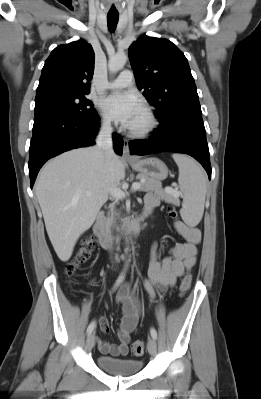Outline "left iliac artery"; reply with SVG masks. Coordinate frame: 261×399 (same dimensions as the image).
I'll use <instances>...</instances> for the list:
<instances>
[{
  "label": "left iliac artery",
  "instance_id": "left-iliac-artery-1",
  "mask_svg": "<svg viewBox=\"0 0 261 399\" xmlns=\"http://www.w3.org/2000/svg\"><path fill=\"white\" fill-rule=\"evenodd\" d=\"M150 333L152 338L157 339V331L154 328H151Z\"/></svg>",
  "mask_w": 261,
  "mask_h": 399
}]
</instances>
